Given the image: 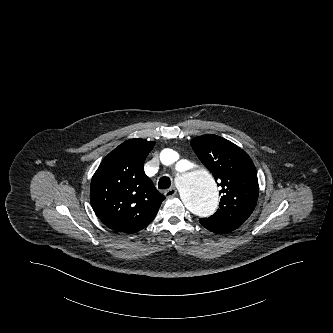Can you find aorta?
Instances as JSON below:
<instances>
[{"instance_id": "obj_1", "label": "aorta", "mask_w": 333, "mask_h": 333, "mask_svg": "<svg viewBox=\"0 0 333 333\" xmlns=\"http://www.w3.org/2000/svg\"><path fill=\"white\" fill-rule=\"evenodd\" d=\"M176 152L165 149L161 153V161L170 164L175 160ZM178 187L184 206L199 218L211 216L217 209L219 194L213 176L205 169L198 167L193 161H180L176 165Z\"/></svg>"}]
</instances>
